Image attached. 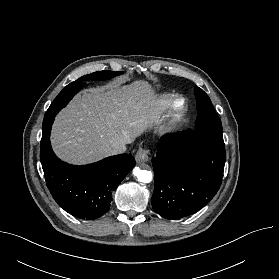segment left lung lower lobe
I'll return each instance as SVG.
<instances>
[{
    "mask_svg": "<svg viewBox=\"0 0 279 279\" xmlns=\"http://www.w3.org/2000/svg\"><path fill=\"white\" fill-rule=\"evenodd\" d=\"M225 146L193 130L168 133L152 159V207L166 219H180L204 207L220 188Z\"/></svg>",
    "mask_w": 279,
    "mask_h": 279,
    "instance_id": "1",
    "label": "left lung lower lobe"
}]
</instances>
